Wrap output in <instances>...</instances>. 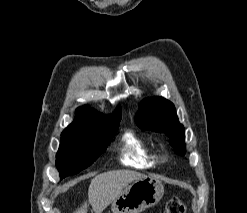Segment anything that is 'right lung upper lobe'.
Listing matches in <instances>:
<instances>
[{"instance_id":"cb5924a9","label":"right lung upper lobe","mask_w":247,"mask_h":213,"mask_svg":"<svg viewBox=\"0 0 247 213\" xmlns=\"http://www.w3.org/2000/svg\"><path fill=\"white\" fill-rule=\"evenodd\" d=\"M120 120V107H118L112 115L106 116L96 112L88 106H83L77 109V115L74 122L62 132V135L93 133L103 127L119 123Z\"/></svg>"}]
</instances>
